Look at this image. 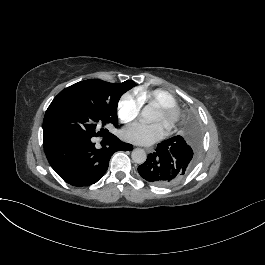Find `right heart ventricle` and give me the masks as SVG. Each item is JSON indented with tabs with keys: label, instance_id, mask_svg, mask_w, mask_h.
Instances as JSON below:
<instances>
[{
	"label": "right heart ventricle",
	"instance_id": "right-heart-ventricle-1",
	"mask_svg": "<svg viewBox=\"0 0 265 265\" xmlns=\"http://www.w3.org/2000/svg\"><path fill=\"white\" fill-rule=\"evenodd\" d=\"M137 96L140 98L142 104L148 103L149 105H154L156 109L162 105H176L174 97L169 92L161 89L154 91L138 90Z\"/></svg>",
	"mask_w": 265,
	"mask_h": 265
}]
</instances>
